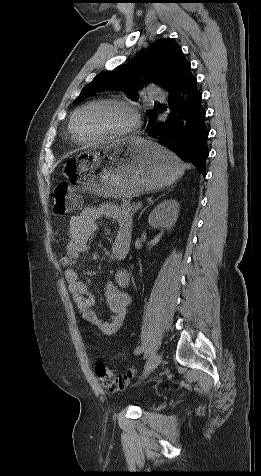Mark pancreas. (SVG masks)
<instances>
[{
	"instance_id": "1",
	"label": "pancreas",
	"mask_w": 261,
	"mask_h": 476,
	"mask_svg": "<svg viewBox=\"0 0 261 476\" xmlns=\"http://www.w3.org/2000/svg\"><path fill=\"white\" fill-rule=\"evenodd\" d=\"M121 208L124 212L133 215L140 207L136 203H131L130 200H123Z\"/></svg>"
}]
</instances>
